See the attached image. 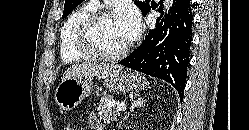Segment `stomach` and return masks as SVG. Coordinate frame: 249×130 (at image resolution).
Wrapping results in <instances>:
<instances>
[{"mask_svg":"<svg viewBox=\"0 0 249 130\" xmlns=\"http://www.w3.org/2000/svg\"><path fill=\"white\" fill-rule=\"evenodd\" d=\"M106 88L113 92H138L146 87L145 78L136 72H118L104 79ZM93 89V79H67L56 88V104L65 111L74 109Z\"/></svg>","mask_w":249,"mask_h":130,"instance_id":"1","label":"stomach"}]
</instances>
